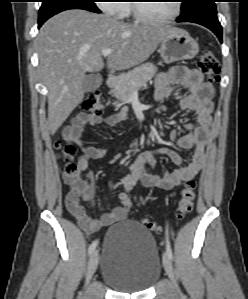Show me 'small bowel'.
<instances>
[{"label": "small bowel", "mask_w": 248, "mask_h": 299, "mask_svg": "<svg viewBox=\"0 0 248 299\" xmlns=\"http://www.w3.org/2000/svg\"><path fill=\"white\" fill-rule=\"evenodd\" d=\"M184 88L187 93L180 97L178 105L181 110L191 111L196 116V123L187 122L185 128L187 133L177 138L175 131L170 132L172 140L177 142L179 148L183 150H193L190 161L183 165L182 158L168 148L161 147L154 150L141 152L135 158L129 175L124 178L120 185L123 190L119 193V200L123 203L129 199V193L137 180H141L147 187H159L171 190L174 187L192 179L203 167L205 162V148L210 136L212 103V86L204 80L203 74L197 69L186 67H174L169 72L158 76L155 89V99L162 102L178 89ZM121 115L114 114L106 119L97 115L79 114L72 123L66 127L64 134L68 141H73L82 137L84 128L105 124L115 127L120 121ZM107 154L106 149L94 145L85 144L83 154L78 160L80 172H84L90 158H103ZM163 154L178 166L171 173L158 174L149 171L155 164V156ZM84 185L83 194L88 200L94 194L91 184V176H86L82 181ZM126 213L123 212L122 205L115 207L111 212L103 214L98 219L89 217L85 212L82 215H74L78 225L87 233H95L101 228L123 220Z\"/></svg>", "instance_id": "small-bowel-1"}]
</instances>
